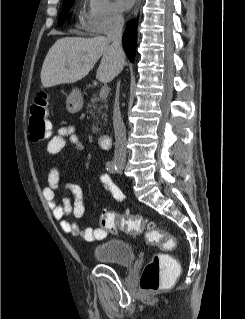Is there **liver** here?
Here are the masks:
<instances>
[{
  "instance_id": "liver-1",
  "label": "liver",
  "mask_w": 245,
  "mask_h": 319,
  "mask_svg": "<svg viewBox=\"0 0 245 319\" xmlns=\"http://www.w3.org/2000/svg\"><path fill=\"white\" fill-rule=\"evenodd\" d=\"M101 58L96 78L108 83L123 69L125 58L118 60L104 36L94 38L65 37L48 51L41 69L45 88L74 83L84 78Z\"/></svg>"
}]
</instances>
